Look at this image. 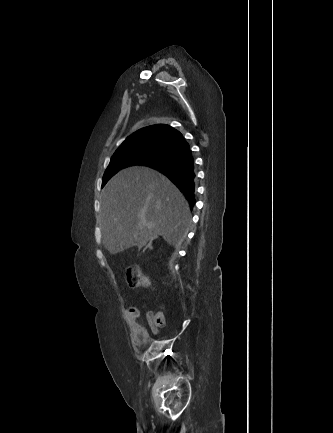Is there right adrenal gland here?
Listing matches in <instances>:
<instances>
[{"label": "right adrenal gland", "instance_id": "right-adrenal-gland-1", "mask_svg": "<svg viewBox=\"0 0 333 433\" xmlns=\"http://www.w3.org/2000/svg\"><path fill=\"white\" fill-rule=\"evenodd\" d=\"M147 248H152V242H149L148 245L144 248V250H146Z\"/></svg>", "mask_w": 333, "mask_h": 433}]
</instances>
